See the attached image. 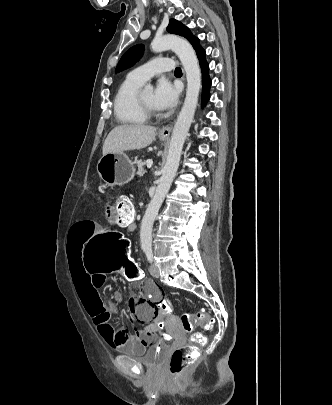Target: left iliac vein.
<instances>
[{"label":"left iliac vein","instance_id":"obj_1","mask_svg":"<svg viewBox=\"0 0 332 405\" xmlns=\"http://www.w3.org/2000/svg\"><path fill=\"white\" fill-rule=\"evenodd\" d=\"M150 273L153 277L159 278L160 277V270L157 265L151 264L150 266Z\"/></svg>","mask_w":332,"mask_h":405}]
</instances>
